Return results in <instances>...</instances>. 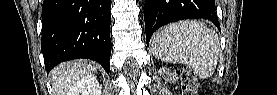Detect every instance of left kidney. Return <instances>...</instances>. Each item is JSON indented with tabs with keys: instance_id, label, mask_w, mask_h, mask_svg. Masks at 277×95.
<instances>
[{
	"instance_id": "5707ae66",
	"label": "left kidney",
	"mask_w": 277,
	"mask_h": 95,
	"mask_svg": "<svg viewBox=\"0 0 277 95\" xmlns=\"http://www.w3.org/2000/svg\"><path fill=\"white\" fill-rule=\"evenodd\" d=\"M161 72L164 76H167V77H173L174 76V73L169 72L166 69H163Z\"/></svg>"
}]
</instances>
